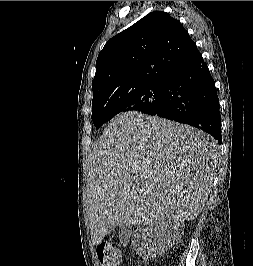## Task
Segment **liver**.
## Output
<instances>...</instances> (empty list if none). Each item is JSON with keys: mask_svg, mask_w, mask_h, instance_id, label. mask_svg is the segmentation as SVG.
Wrapping results in <instances>:
<instances>
[{"mask_svg": "<svg viewBox=\"0 0 253 266\" xmlns=\"http://www.w3.org/2000/svg\"><path fill=\"white\" fill-rule=\"evenodd\" d=\"M219 157L200 129L139 112L115 117L89 156L87 214L93 245L117 225L194 220Z\"/></svg>", "mask_w": 253, "mask_h": 266, "instance_id": "6515ba94", "label": "liver"}]
</instances>
